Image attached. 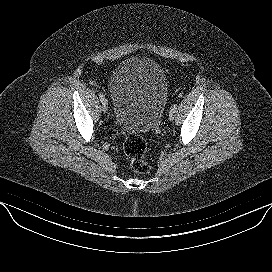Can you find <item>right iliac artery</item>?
I'll return each mask as SVG.
<instances>
[{
  "instance_id": "obj_1",
  "label": "right iliac artery",
  "mask_w": 272,
  "mask_h": 272,
  "mask_svg": "<svg viewBox=\"0 0 272 272\" xmlns=\"http://www.w3.org/2000/svg\"><path fill=\"white\" fill-rule=\"evenodd\" d=\"M99 98H100L101 102H103L105 100V96L102 93H99Z\"/></svg>"
}]
</instances>
